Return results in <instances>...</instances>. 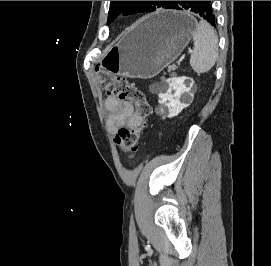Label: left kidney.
<instances>
[{"mask_svg":"<svg viewBox=\"0 0 271 266\" xmlns=\"http://www.w3.org/2000/svg\"><path fill=\"white\" fill-rule=\"evenodd\" d=\"M186 77H174L168 80L169 88L167 92L159 95V104L165 105L168 110V117L177 116L189 104L181 101L182 96L190 95V82H186ZM172 91L174 93L172 94ZM165 118V117H163Z\"/></svg>","mask_w":271,"mask_h":266,"instance_id":"left-kidney-1","label":"left kidney"}]
</instances>
